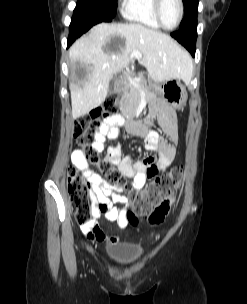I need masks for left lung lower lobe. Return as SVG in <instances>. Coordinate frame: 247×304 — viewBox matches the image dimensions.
<instances>
[{
    "label": "left lung lower lobe",
    "instance_id": "obj_1",
    "mask_svg": "<svg viewBox=\"0 0 247 304\" xmlns=\"http://www.w3.org/2000/svg\"><path fill=\"white\" fill-rule=\"evenodd\" d=\"M171 36L174 37L184 47H186V49L192 54V56L195 55L197 23L182 27L179 31L171 33Z\"/></svg>",
    "mask_w": 247,
    "mask_h": 304
}]
</instances>
